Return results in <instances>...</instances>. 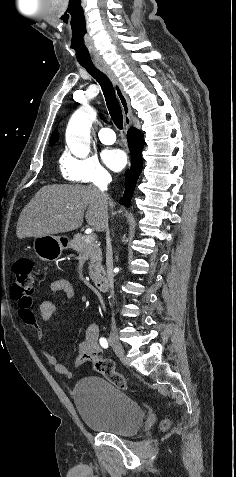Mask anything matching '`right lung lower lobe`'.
<instances>
[{
  "mask_svg": "<svg viewBox=\"0 0 236 477\" xmlns=\"http://www.w3.org/2000/svg\"><path fill=\"white\" fill-rule=\"evenodd\" d=\"M128 145L131 150V168L125 172V191L122 197V204L129 207L130 199L133 195L136 182L142 170L141 151L143 149V137L141 132L136 128H130L127 133Z\"/></svg>",
  "mask_w": 236,
  "mask_h": 477,
  "instance_id": "right-lung-lower-lobe-1",
  "label": "right lung lower lobe"
}]
</instances>
